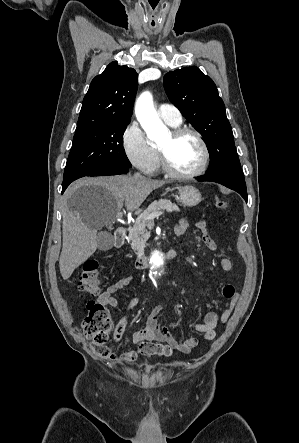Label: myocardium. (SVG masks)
Returning <instances> with one entry per match:
<instances>
[{
	"instance_id": "obj_1",
	"label": "myocardium",
	"mask_w": 299,
	"mask_h": 443,
	"mask_svg": "<svg viewBox=\"0 0 299 443\" xmlns=\"http://www.w3.org/2000/svg\"><path fill=\"white\" fill-rule=\"evenodd\" d=\"M185 134H192L193 136H195V138L197 139V141L201 147L202 159H201L199 166L195 170L188 172V173H182V172L176 171L171 166V164L169 162L167 151L161 147L158 148L159 162H160V166H161L162 170L168 176H170L174 179H179V180L192 179V178L199 177L207 169V166H208L209 160H210V153H209L207 143L198 130H196L195 128H192V127H176L170 132L172 139H177L180 136L185 135Z\"/></svg>"
}]
</instances>
